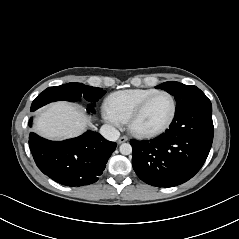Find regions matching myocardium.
Returning <instances> with one entry per match:
<instances>
[{"mask_svg":"<svg viewBox=\"0 0 239 239\" xmlns=\"http://www.w3.org/2000/svg\"><path fill=\"white\" fill-rule=\"evenodd\" d=\"M158 95H167L171 101H172V113L169 117V119L159 128L153 129V130H141L136 127V121L139 118V116L142 114L148 103L155 98ZM177 115V101L175 97L168 91L165 90H157L156 92L152 93L151 95L147 96L145 99H143L132 111L130 116L127 119V125L129 131L138 137L143 138H150L158 136L162 133H164L174 122Z\"/></svg>","mask_w":239,"mask_h":239,"instance_id":"obj_1","label":"myocardium"}]
</instances>
